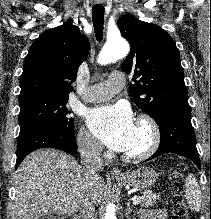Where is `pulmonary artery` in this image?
I'll return each instance as SVG.
<instances>
[{
	"instance_id": "obj_1",
	"label": "pulmonary artery",
	"mask_w": 211,
	"mask_h": 219,
	"mask_svg": "<svg viewBox=\"0 0 211 219\" xmlns=\"http://www.w3.org/2000/svg\"><path fill=\"white\" fill-rule=\"evenodd\" d=\"M125 84V75L120 71H113L107 81L92 85L82 96L88 103L101 102L109 99Z\"/></svg>"
}]
</instances>
